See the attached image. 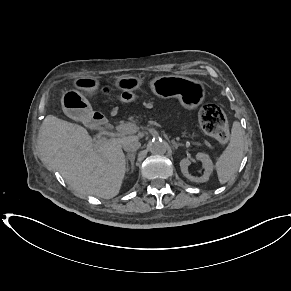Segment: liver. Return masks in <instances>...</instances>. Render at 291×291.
<instances>
[{"mask_svg": "<svg viewBox=\"0 0 291 291\" xmlns=\"http://www.w3.org/2000/svg\"><path fill=\"white\" fill-rule=\"evenodd\" d=\"M138 139L129 135L94 142L84 127L49 115L41 126L37 148L75 191L111 199L119 194L125 177L122 145Z\"/></svg>", "mask_w": 291, "mask_h": 291, "instance_id": "liver-1", "label": "liver"}]
</instances>
